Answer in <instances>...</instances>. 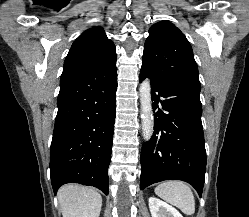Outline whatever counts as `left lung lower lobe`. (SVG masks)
Returning a JSON list of instances; mask_svg holds the SVG:
<instances>
[{
  "instance_id": "obj_1",
  "label": "left lung lower lobe",
  "mask_w": 249,
  "mask_h": 217,
  "mask_svg": "<svg viewBox=\"0 0 249 217\" xmlns=\"http://www.w3.org/2000/svg\"><path fill=\"white\" fill-rule=\"evenodd\" d=\"M145 77L151 80L155 113L153 136L141 151L140 189L164 180H182L191 184L201 197L206 151L200 92L154 80L141 69L140 80Z\"/></svg>"
}]
</instances>
